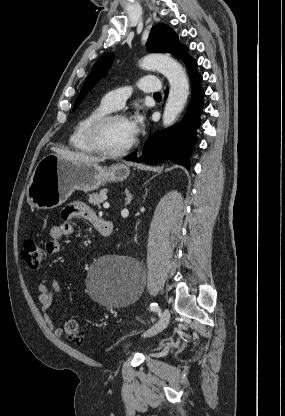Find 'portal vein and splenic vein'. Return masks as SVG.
Here are the masks:
<instances>
[{
	"label": "portal vein and splenic vein",
	"mask_w": 285,
	"mask_h": 416,
	"mask_svg": "<svg viewBox=\"0 0 285 416\" xmlns=\"http://www.w3.org/2000/svg\"><path fill=\"white\" fill-rule=\"evenodd\" d=\"M103 208H110V204H108V202H105V204H103Z\"/></svg>",
	"instance_id": "18ae733b"
}]
</instances>
